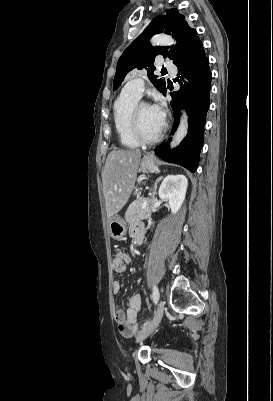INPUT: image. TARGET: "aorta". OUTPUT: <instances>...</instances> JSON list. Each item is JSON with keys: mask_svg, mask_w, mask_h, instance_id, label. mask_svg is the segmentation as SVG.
<instances>
[{"mask_svg": "<svg viewBox=\"0 0 273 401\" xmlns=\"http://www.w3.org/2000/svg\"><path fill=\"white\" fill-rule=\"evenodd\" d=\"M151 42L154 45H162V46L172 45L175 43L174 39L171 36L164 34L154 36L151 39ZM187 133H188V119L186 113L183 112L179 126L171 142V147L172 148L177 147L180 144V142L185 138Z\"/></svg>", "mask_w": 273, "mask_h": 401, "instance_id": "1", "label": "aorta"}]
</instances>
